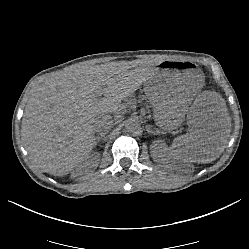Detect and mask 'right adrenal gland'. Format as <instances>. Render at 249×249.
Instances as JSON below:
<instances>
[{"mask_svg": "<svg viewBox=\"0 0 249 249\" xmlns=\"http://www.w3.org/2000/svg\"><path fill=\"white\" fill-rule=\"evenodd\" d=\"M104 137H105V133H100L98 136H96V137H95V142H94V144H95L94 147H96V145L98 144V142H99L102 138H104Z\"/></svg>", "mask_w": 249, "mask_h": 249, "instance_id": "1", "label": "right adrenal gland"}]
</instances>
